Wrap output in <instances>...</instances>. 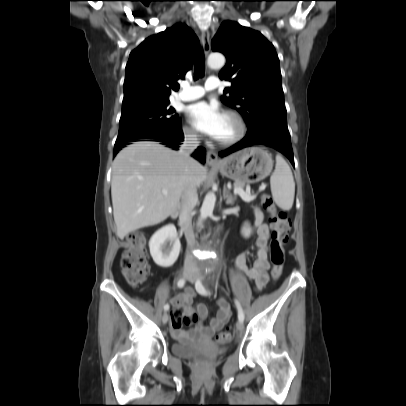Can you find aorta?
Segmentation results:
<instances>
[{"mask_svg":"<svg viewBox=\"0 0 406 406\" xmlns=\"http://www.w3.org/2000/svg\"><path fill=\"white\" fill-rule=\"evenodd\" d=\"M207 64L212 69L221 68L225 64V57L221 53H212L208 57ZM215 202H216L215 194L213 192H209L205 196L200 210V218L198 221L199 226L201 225L204 219H206L209 215L212 214Z\"/></svg>","mask_w":406,"mask_h":406,"instance_id":"obj_1","label":"aorta"}]
</instances>
